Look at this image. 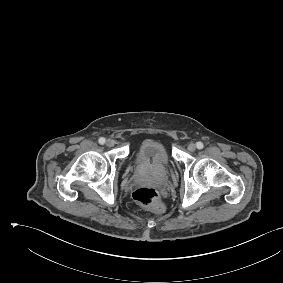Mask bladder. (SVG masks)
I'll return each instance as SVG.
<instances>
[{
  "mask_svg": "<svg viewBox=\"0 0 283 283\" xmlns=\"http://www.w3.org/2000/svg\"><path fill=\"white\" fill-rule=\"evenodd\" d=\"M135 167L141 171L162 173L171 166V159L166 147L157 140H144L133 154Z\"/></svg>",
  "mask_w": 283,
  "mask_h": 283,
  "instance_id": "1",
  "label": "bladder"
}]
</instances>
